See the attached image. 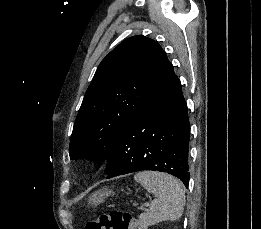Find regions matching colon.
Wrapping results in <instances>:
<instances>
[{
    "label": "colon",
    "instance_id": "colon-1",
    "mask_svg": "<svg viewBox=\"0 0 261 229\" xmlns=\"http://www.w3.org/2000/svg\"><path fill=\"white\" fill-rule=\"evenodd\" d=\"M85 229H137L134 217L127 211L110 210L98 213Z\"/></svg>",
    "mask_w": 261,
    "mask_h": 229
}]
</instances>
